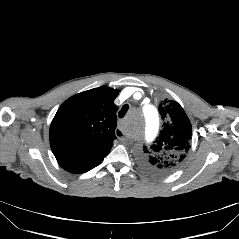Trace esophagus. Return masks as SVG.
<instances>
[{"instance_id": "1", "label": "esophagus", "mask_w": 239, "mask_h": 239, "mask_svg": "<svg viewBox=\"0 0 239 239\" xmlns=\"http://www.w3.org/2000/svg\"><path fill=\"white\" fill-rule=\"evenodd\" d=\"M115 134H116V136L118 137V139H119L120 141H125V140H126V138H125L124 136H121V135L123 134V132H122L121 129H117V130L115 131Z\"/></svg>"}]
</instances>
